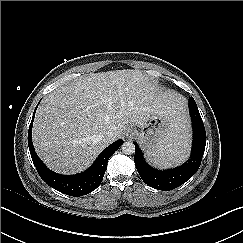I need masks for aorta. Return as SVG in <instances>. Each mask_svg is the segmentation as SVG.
Masks as SVG:
<instances>
[{"instance_id":"1","label":"aorta","mask_w":243,"mask_h":243,"mask_svg":"<svg viewBox=\"0 0 243 243\" xmlns=\"http://www.w3.org/2000/svg\"><path fill=\"white\" fill-rule=\"evenodd\" d=\"M121 149L124 154L131 155L135 152V145L132 142L127 141L122 144Z\"/></svg>"}]
</instances>
